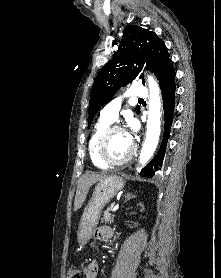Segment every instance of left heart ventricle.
Masks as SVG:
<instances>
[{
  "label": "left heart ventricle",
  "mask_w": 221,
  "mask_h": 278,
  "mask_svg": "<svg viewBox=\"0 0 221 278\" xmlns=\"http://www.w3.org/2000/svg\"><path fill=\"white\" fill-rule=\"evenodd\" d=\"M132 149V141L124 131H115L109 138L107 156L114 161L124 159Z\"/></svg>",
  "instance_id": "obj_1"
}]
</instances>
